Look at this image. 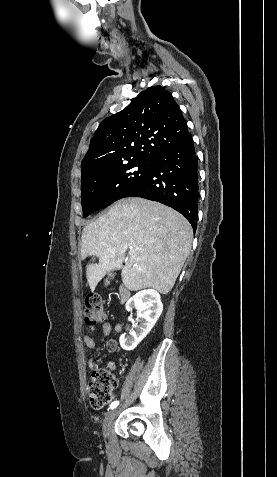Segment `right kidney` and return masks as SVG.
I'll use <instances>...</instances> for the list:
<instances>
[{
	"mask_svg": "<svg viewBox=\"0 0 277 477\" xmlns=\"http://www.w3.org/2000/svg\"><path fill=\"white\" fill-rule=\"evenodd\" d=\"M133 308L137 310V320L142 323L136 332L130 331L129 336L125 333L120 336V346L126 351L135 349L151 331L163 311V304L156 290L146 289L127 301L126 310L130 312Z\"/></svg>",
	"mask_w": 277,
	"mask_h": 477,
	"instance_id": "obj_1",
	"label": "right kidney"
}]
</instances>
